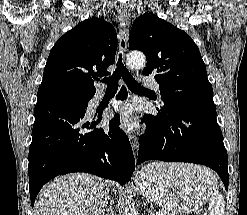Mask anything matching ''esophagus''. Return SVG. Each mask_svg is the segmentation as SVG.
Listing matches in <instances>:
<instances>
[{
	"instance_id": "obj_1",
	"label": "esophagus",
	"mask_w": 247,
	"mask_h": 215,
	"mask_svg": "<svg viewBox=\"0 0 247 215\" xmlns=\"http://www.w3.org/2000/svg\"><path fill=\"white\" fill-rule=\"evenodd\" d=\"M118 19L123 22H127L129 19V12L126 9H120L118 10ZM127 43H128V28H124L123 33L120 36L119 41V49L122 53H124L127 49ZM129 139L131 141L132 149L134 152V157L136 158L137 149L139 147V141L136 135L131 134L129 136Z\"/></svg>"
}]
</instances>
